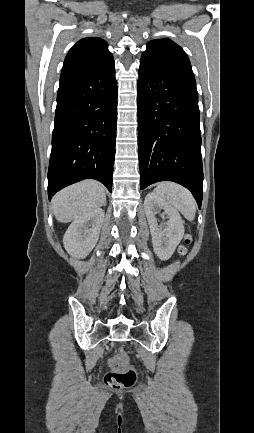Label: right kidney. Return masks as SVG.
Masks as SVG:
<instances>
[{
  "instance_id": "right-kidney-1",
  "label": "right kidney",
  "mask_w": 254,
  "mask_h": 433,
  "mask_svg": "<svg viewBox=\"0 0 254 433\" xmlns=\"http://www.w3.org/2000/svg\"><path fill=\"white\" fill-rule=\"evenodd\" d=\"M103 220L104 210L101 208L75 219L63 237L66 251L73 257L85 258L99 239Z\"/></svg>"
}]
</instances>
